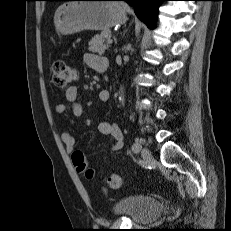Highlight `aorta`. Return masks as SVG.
Returning <instances> with one entry per match:
<instances>
[{"mask_svg": "<svg viewBox=\"0 0 231 231\" xmlns=\"http://www.w3.org/2000/svg\"><path fill=\"white\" fill-rule=\"evenodd\" d=\"M123 97H124V96H123V93H121L119 99L122 100Z\"/></svg>", "mask_w": 231, "mask_h": 231, "instance_id": "1", "label": "aorta"}]
</instances>
